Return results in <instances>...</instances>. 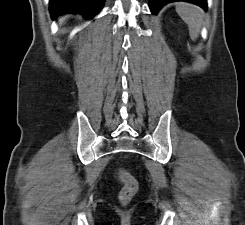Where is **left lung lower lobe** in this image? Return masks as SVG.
<instances>
[{
	"label": "left lung lower lobe",
	"mask_w": 245,
	"mask_h": 225,
	"mask_svg": "<svg viewBox=\"0 0 245 225\" xmlns=\"http://www.w3.org/2000/svg\"><path fill=\"white\" fill-rule=\"evenodd\" d=\"M173 1H186L194 3L203 9L207 8V0H150V10L153 14H156L163 5Z\"/></svg>",
	"instance_id": "obj_1"
}]
</instances>
